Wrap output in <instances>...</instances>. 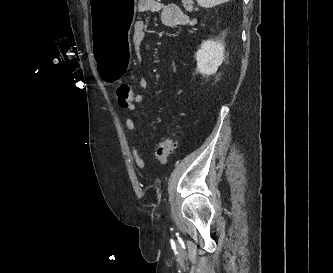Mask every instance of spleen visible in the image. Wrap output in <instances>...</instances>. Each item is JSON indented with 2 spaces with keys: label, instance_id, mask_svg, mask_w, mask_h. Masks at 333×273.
Instances as JSON below:
<instances>
[{
  "label": "spleen",
  "instance_id": "3e777b00",
  "mask_svg": "<svg viewBox=\"0 0 333 273\" xmlns=\"http://www.w3.org/2000/svg\"><path fill=\"white\" fill-rule=\"evenodd\" d=\"M228 1L230 0H197V3L201 7L211 8Z\"/></svg>",
  "mask_w": 333,
  "mask_h": 273
}]
</instances>
